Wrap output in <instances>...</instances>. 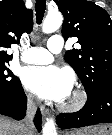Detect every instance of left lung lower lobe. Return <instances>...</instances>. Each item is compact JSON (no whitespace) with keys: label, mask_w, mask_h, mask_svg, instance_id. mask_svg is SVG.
Instances as JSON below:
<instances>
[{"label":"left lung lower lobe","mask_w":112,"mask_h":135,"mask_svg":"<svg viewBox=\"0 0 112 135\" xmlns=\"http://www.w3.org/2000/svg\"><path fill=\"white\" fill-rule=\"evenodd\" d=\"M56 120L62 129L112 123V85L100 88L89 95L85 106L80 111L62 113Z\"/></svg>","instance_id":"1"}]
</instances>
